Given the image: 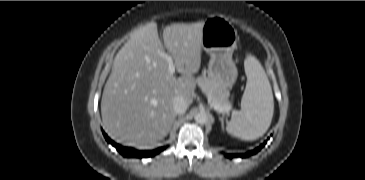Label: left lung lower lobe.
Instances as JSON below:
<instances>
[{
	"instance_id": "1",
	"label": "left lung lower lobe",
	"mask_w": 365,
	"mask_h": 180,
	"mask_svg": "<svg viewBox=\"0 0 365 180\" xmlns=\"http://www.w3.org/2000/svg\"><path fill=\"white\" fill-rule=\"evenodd\" d=\"M266 143V141H265ZM265 143L261 144L259 147H257L256 149L246 153V154H239V155H227V157L229 158H232V157H235V156H239V157H247L249 155H253V154H256L258 151L261 150L262 147H264Z\"/></svg>"
}]
</instances>
